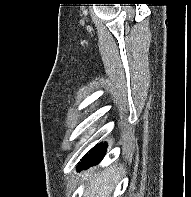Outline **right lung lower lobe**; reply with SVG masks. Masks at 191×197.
Returning <instances> with one entry per match:
<instances>
[{
  "label": "right lung lower lobe",
  "instance_id": "obj_1",
  "mask_svg": "<svg viewBox=\"0 0 191 197\" xmlns=\"http://www.w3.org/2000/svg\"><path fill=\"white\" fill-rule=\"evenodd\" d=\"M106 148L107 145L103 143L96 145L89 153L84 156V158H82L78 169H85L95 163L100 162L106 154Z\"/></svg>",
  "mask_w": 191,
  "mask_h": 197
}]
</instances>
